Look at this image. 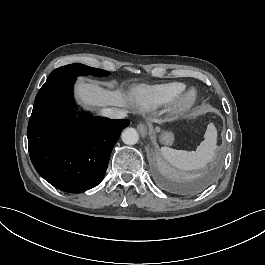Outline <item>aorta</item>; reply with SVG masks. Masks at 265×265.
Masks as SVG:
<instances>
[{
    "mask_svg": "<svg viewBox=\"0 0 265 265\" xmlns=\"http://www.w3.org/2000/svg\"><path fill=\"white\" fill-rule=\"evenodd\" d=\"M122 141L127 145H134L138 142L139 136L134 128H127L122 132Z\"/></svg>",
    "mask_w": 265,
    "mask_h": 265,
    "instance_id": "1",
    "label": "aorta"
}]
</instances>
